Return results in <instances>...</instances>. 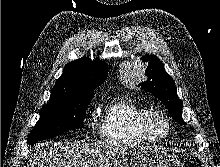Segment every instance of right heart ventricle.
<instances>
[{"mask_svg": "<svg viewBox=\"0 0 220 167\" xmlns=\"http://www.w3.org/2000/svg\"><path fill=\"white\" fill-rule=\"evenodd\" d=\"M148 111L129 96H116L102 114L100 137L113 143L149 142L141 130L142 118Z\"/></svg>", "mask_w": 220, "mask_h": 167, "instance_id": "e07e8e85", "label": "right heart ventricle"}]
</instances>
